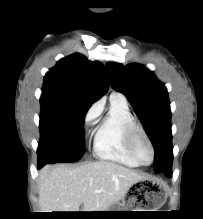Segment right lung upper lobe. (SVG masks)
I'll return each mask as SVG.
<instances>
[{"instance_id":"cb5924a9","label":"right lung upper lobe","mask_w":203,"mask_h":219,"mask_svg":"<svg viewBox=\"0 0 203 219\" xmlns=\"http://www.w3.org/2000/svg\"><path fill=\"white\" fill-rule=\"evenodd\" d=\"M108 88L104 65L82 54L61 59L44 77L42 92H53L92 104Z\"/></svg>"}]
</instances>
